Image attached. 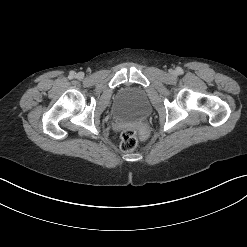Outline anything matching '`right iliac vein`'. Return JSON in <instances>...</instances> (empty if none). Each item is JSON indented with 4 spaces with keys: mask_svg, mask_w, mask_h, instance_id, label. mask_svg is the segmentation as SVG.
Wrapping results in <instances>:
<instances>
[{
    "mask_svg": "<svg viewBox=\"0 0 247 247\" xmlns=\"http://www.w3.org/2000/svg\"><path fill=\"white\" fill-rule=\"evenodd\" d=\"M83 76H84L83 73H78V74H77V77H78V78H82Z\"/></svg>",
    "mask_w": 247,
    "mask_h": 247,
    "instance_id": "1",
    "label": "right iliac vein"
}]
</instances>
